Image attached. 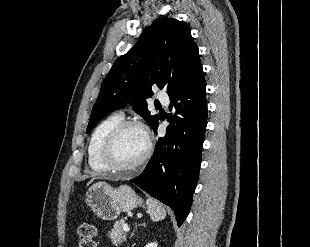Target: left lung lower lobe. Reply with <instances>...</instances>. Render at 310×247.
Returning a JSON list of instances; mask_svg holds the SVG:
<instances>
[{
  "instance_id": "1",
  "label": "left lung lower lobe",
  "mask_w": 310,
  "mask_h": 247,
  "mask_svg": "<svg viewBox=\"0 0 310 247\" xmlns=\"http://www.w3.org/2000/svg\"><path fill=\"white\" fill-rule=\"evenodd\" d=\"M206 82L202 66L172 92L170 125L159 138L145 170L130 180L173 209L181 226L192 204L207 126ZM158 122L152 128L157 133Z\"/></svg>"
}]
</instances>
